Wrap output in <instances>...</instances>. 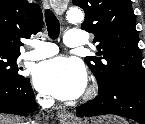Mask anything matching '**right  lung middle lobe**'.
<instances>
[{"instance_id":"1","label":"right lung middle lobe","mask_w":145,"mask_h":124,"mask_svg":"<svg viewBox=\"0 0 145 124\" xmlns=\"http://www.w3.org/2000/svg\"><path fill=\"white\" fill-rule=\"evenodd\" d=\"M18 57L19 55L0 51V75L15 79L23 78V76L18 73L19 68L16 64Z\"/></svg>"}]
</instances>
